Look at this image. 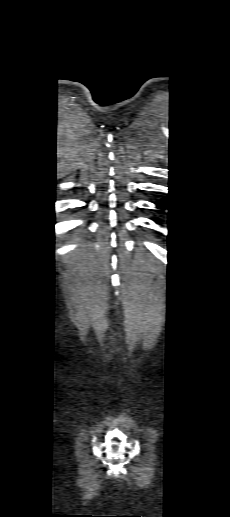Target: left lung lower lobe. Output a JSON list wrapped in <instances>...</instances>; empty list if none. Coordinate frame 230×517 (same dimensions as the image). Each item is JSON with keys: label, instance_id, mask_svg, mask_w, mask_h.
<instances>
[{"label": "left lung lower lobe", "instance_id": "0a47b994", "mask_svg": "<svg viewBox=\"0 0 230 517\" xmlns=\"http://www.w3.org/2000/svg\"><path fill=\"white\" fill-rule=\"evenodd\" d=\"M158 208L163 210L162 212L164 213L165 210L167 209V206L163 205V204H158Z\"/></svg>", "mask_w": 230, "mask_h": 517}]
</instances>
